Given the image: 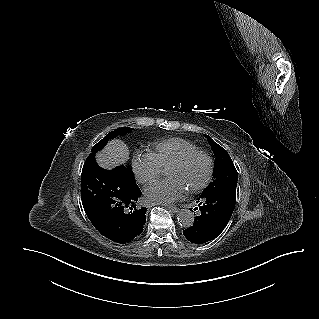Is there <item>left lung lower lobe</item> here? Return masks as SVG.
<instances>
[{"mask_svg":"<svg viewBox=\"0 0 319 319\" xmlns=\"http://www.w3.org/2000/svg\"><path fill=\"white\" fill-rule=\"evenodd\" d=\"M236 202V187L202 194L196 201L200 211L193 226L183 231L192 243L202 244L216 238L226 227Z\"/></svg>","mask_w":319,"mask_h":319,"instance_id":"left-lung-lower-lobe-1","label":"left lung lower lobe"}]
</instances>
